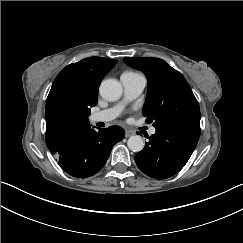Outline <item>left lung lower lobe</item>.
Here are the masks:
<instances>
[{
    "label": "left lung lower lobe",
    "mask_w": 243,
    "mask_h": 243,
    "mask_svg": "<svg viewBox=\"0 0 243 243\" xmlns=\"http://www.w3.org/2000/svg\"><path fill=\"white\" fill-rule=\"evenodd\" d=\"M200 128L174 124L156 128L144 149L135 155V162L146 175L155 179L169 178L178 173L193 153Z\"/></svg>",
    "instance_id": "0a47b994"
}]
</instances>
